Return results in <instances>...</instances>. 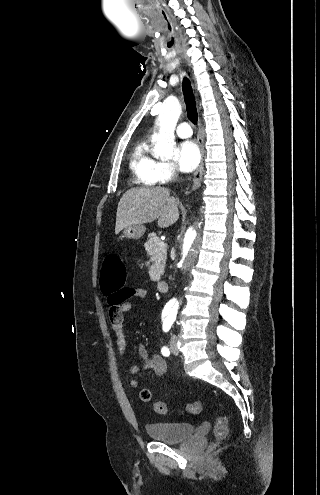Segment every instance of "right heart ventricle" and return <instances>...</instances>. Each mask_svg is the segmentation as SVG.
<instances>
[{"mask_svg":"<svg viewBox=\"0 0 320 495\" xmlns=\"http://www.w3.org/2000/svg\"><path fill=\"white\" fill-rule=\"evenodd\" d=\"M158 163L151 152L149 140L140 141L133 149L130 158V169L135 181L144 186L154 185Z\"/></svg>","mask_w":320,"mask_h":495,"instance_id":"1","label":"right heart ventricle"}]
</instances>
